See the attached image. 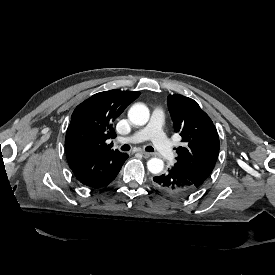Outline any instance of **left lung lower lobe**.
Wrapping results in <instances>:
<instances>
[{
  "mask_svg": "<svg viewBox=\"0 0 275 275\" xmlns=\"http://www.w3.org/2000/svg\"><path fill=\"white\" fill-rule=\"evenodd\" d=\"M153 183L161 193L176 198L189 196L197 190L193 182L175 166L155 176Z\"/></svg>",
  "mask_w": 275,
  "mask_h": 275,
  "instance_id": "0a47b994",
  "label": "left lung lower lobe"
}]
</instances>
